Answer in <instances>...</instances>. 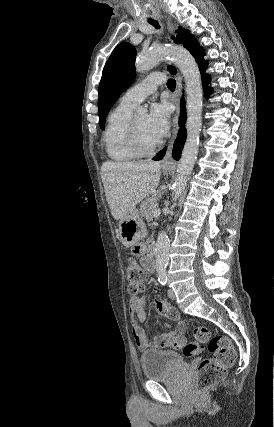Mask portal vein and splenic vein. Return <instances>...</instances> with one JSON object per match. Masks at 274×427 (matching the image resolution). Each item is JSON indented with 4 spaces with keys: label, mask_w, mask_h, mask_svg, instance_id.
<instances>
[{
    "label": "portal vein and splenic vein",
    "mask_w": 274,
    "mask_h": 427,
    "mask_svg": "<svg viewBox=\"0 0 274 427\" xmlns=\"http://www.w3.org/2000/svg\"><path fill=\"white\" fill-rule=\"evenodd\" d=\"M160 214H161V210H155L154 212L155 217H157V215H160Z\"/></svg>",
    "instance_id": "18ae733b"
}]
</instances>
